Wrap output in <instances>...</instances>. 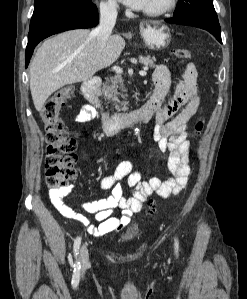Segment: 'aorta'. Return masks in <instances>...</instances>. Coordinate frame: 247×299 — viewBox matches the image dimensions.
Masks as SVG:
<instances>
[{
	"mask_svg": "<svg viewBox=\"0 0 247 299\" xmlns=\"http://www.w3.org/2000/svg\"><path fill=\"white\" fill-rule=\"evenodd\" d=\"M135 132L138 134V132H139L138 128L135 129Z\"/></svg>",
	"mask_w": 247,
	"mask_h": 299,
	"instance_id": "aorta-1",
	"label": "aorta"
}]
</instances>
